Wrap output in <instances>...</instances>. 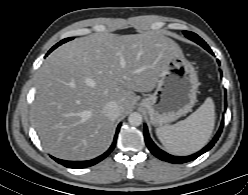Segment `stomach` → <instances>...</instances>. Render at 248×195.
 Returning a JSON list of instances; mask_svg holds the SVG:
<instances>
[{"mask_svg": "<svg viewBox=\"0 0 248 195\" xmlns=\"http://www.w3.org/2000/svg\"><path fill=\"white\" fill-rule=\"evenodd\" d=\"M198 77L183 54L171 56L156 90L140 102L154 126L171 123L190 112L196 102Z\"/></svg>", "mask_w": 248, "mask_h": 195, "instance_id": "1", "label": "stomach"}]
</instances>
